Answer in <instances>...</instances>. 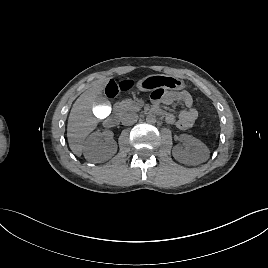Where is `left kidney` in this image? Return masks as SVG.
I'll return each mask as SVG.
<instances>
[{
	"label": "left kidney",
	"mask_w": 268,
	"mask_h": 268,
	"mask_svg": "<svg viewBox=\"0 0 268 268\" xmlns=\"http://www.w3.org/2000/svg\"><path fill=\"white\" fill-rule=\"evenodd\" d=\"M180 140L185 148L178 144L172 150L173 157L177 161L184 164H200L207 160L209 150L200 140L189 135H182Z\"/></svg>",
	"instance_id": "1"
}]
</instances>
